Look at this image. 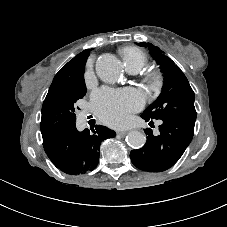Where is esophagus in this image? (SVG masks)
Instances as JSON below:
<instances>
[{
  "instance_id": "1",
  "label": "esophagus",
  "mask_w": 227,
  "mask_h": 227,
  "mask_svg": "<svg viewBox=\"0 0 227 227\" xmlns=\"http://www.w3.org/2000/svg\"><path fill=\"white\" fill-rule=\"evenodd\" d=\"M127 134V131H118L117 135L119 136H125Z\"/></svg>"
}]
</instances>
